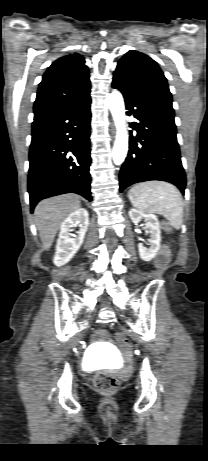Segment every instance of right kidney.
<instances>
[{
  "label": "right kidney",
  "mask_w": 208,
  "mask_h": 461,
  "mask_svg": "<svg viewBox=\"0 0 208 461\" xmlns=\"http://www.w3.org/2000/svg\"><path fill=\"white\" fill-rule=\"evenodd\" d=\"M79 226L77 235L72 234L74 226ZM89 225V215L86 209L80 208L72 212L61 224L56 253L53 263L62 266L70 261L81 247Z\"/></svg>",
  "instance_id": "right-kidney-1"
}]
</instances>
